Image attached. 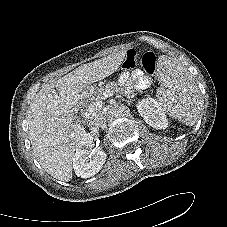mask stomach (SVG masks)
I'll return each instance as SVG.
<instances>
[{"label":"stomach","mask_w":227,"mask_h":227,"mask_svg":"<svg viewBox=\"0 0 227 227\" xmlns=\"http://www.w3.org/2000/svg\"><path fill=\"white\" fill-rule=\"evenodd\" d=\"M90 87L88 86L82 93V96L87 97V93L89 92Z\"/></svg>","instance_id":"1"}]
</instances>
